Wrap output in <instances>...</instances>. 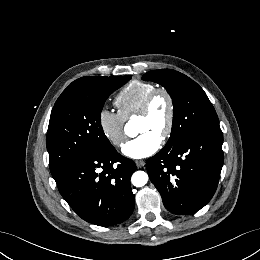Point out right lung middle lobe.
Listing matches in <instances>:
<instances>
[{
	"label": "right lung middle lobe",
	"mask_w": 260,
	"mask_h": 260,
	"mask_svg": "<svg viewBox=\"0 0 260 260\" xmlns=\"http://www.w3.org/2000/svg\"><path fill=\"white\" fill-rule=\"evenodd\" d=\"M130 78L102 77L85 92L58 98L47 132L52 174L75 157L105 154L113 149L101 126V111L108 96Z\"/></svg>",
	"instance_id": "right-lung-middle-lobe-1"
}]
</instances>
